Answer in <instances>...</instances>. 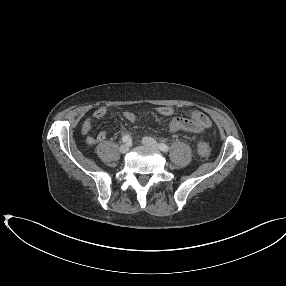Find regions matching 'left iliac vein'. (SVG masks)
Masks as SVG:
<instances>
[{"label":"left iliac vein","mask_w":286,"mask_h":286,"mask_svg":"<svg viewBox=\"0 0 286 286\" xmlns=\"http://www.w3.org/2000/svg\"><path fill=\"white\" fill-rule=\"evenodd\" d=\"M143 144L145 146H147V147H151V148H154V149L158 148L157 142L155 141V139H153L151 137H144L143 138Z\"/></svg>","instance_id":"left-iliac-vein-1"}]
</instances>
